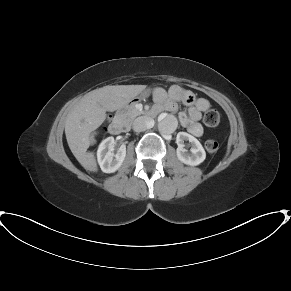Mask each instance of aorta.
Wrapping results in <instances>:
<instances>
[{"label": "aorta", "mask_w": 291, "mask_h": 291, "mask_svg": "<svg viewBox=\"0 0 291 291\" xmlns=\"http://www.w3.org/2000/svg\"><path fill=\"white\" fill-rule=\"evenodd\" d=\"M178 125L177 119L170 114L161 115L158 119V130L162 134L173 133Z\"/></svg>", "instance_id": "762f6f07"}]
</instances>
